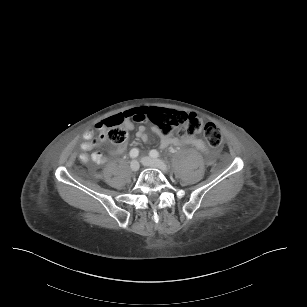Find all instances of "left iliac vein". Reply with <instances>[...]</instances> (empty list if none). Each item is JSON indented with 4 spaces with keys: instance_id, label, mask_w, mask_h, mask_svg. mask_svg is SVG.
<instances>
[{
    "instance_id": "left-iliac-vein-1",
    "label": "left iliac vein",
    "mask_w": 307,
    "mask_h": 307,
    "mask_svg": "<svg viewBox=\"0 0 307 307\" xmlns=\"http://www.w3.org/2000/svg\"><path fill=\"white\" fill-rule=\"evenodd\" d=\"M141 162L145 166H149V167H153V168H159L163 171L167 170V166L165 165V163L162 162L159 159H152L150 157L145 156L141 159Z\"/></svg>"
}]
</instances>
